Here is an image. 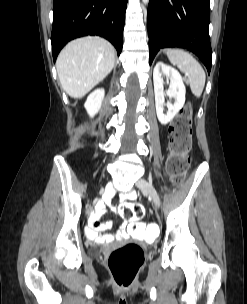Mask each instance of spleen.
I'll return each instance as SVG.
<instances>
[{
    "mask_svg": "<svg viewBox=\"0 0 247 304\" xmlns=\"http://www.w3.org/2000/svg\"><path fill=\"white\" fill-rule=\"evenodd\" d=\"M169 61L187 76L190 89L196 97H200L205 86V72L199 62L182 49L167 50Z\"/></svg>",
    "mask_w": 247,
    "mask_h": 304,
    "instance_id": "1",
    "label": "spleen"
}]
</instances>
